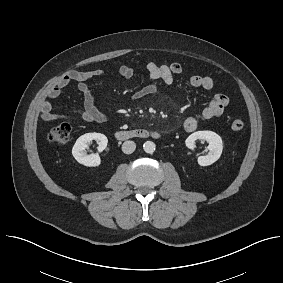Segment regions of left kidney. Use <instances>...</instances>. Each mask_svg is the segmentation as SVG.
Here are the masks:
<instances>
[{"instance_id": "1", "label": "left kidney", "mask_w": 283, "mask_h": 283, "mask_svg": "<svg viewBox=\"0 0 283 283\" xmlns=\"http://www.w3.org/2000/svg\"><path fill=\"white\" fill-rule=\"evenodd\" d=\"M196 140H204L209 143L208 149L209 152L206 156L198 157V164L200 166H209L216 162L223 150V141L222 138L213 131H197L188 136L185 143L189 149L195 148Z\"/></svg>"}]
</instances>
